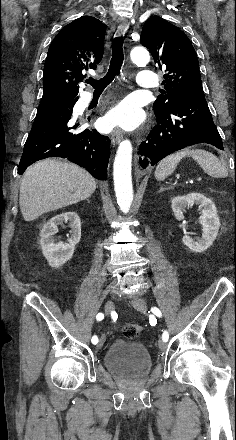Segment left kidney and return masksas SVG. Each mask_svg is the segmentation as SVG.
<instances>
[{"label":"left kidney","instance_id":"1","mask_svg":"<svg viewBox=\"0 0 236 440\" xmlns=\"http://www.w3.org/2000/svg\"><path fill=\"white\" fill-rule=\"evenodd\" d=\"M196 204L202 208L199 223L202 226V237L194 239L188 234L183 236V243L194 252H204L215 241L221 226L217 209L213 201L200 193H189L185 196H177L171 200V207L176 220L184 219L183 213L186 208Z\"/></svg>","mask_w":236,"mask_h":440}]
</instances>
